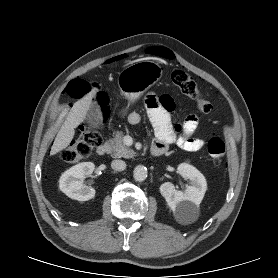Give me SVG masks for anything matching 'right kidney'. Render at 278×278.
<instances>
[{
	"label": "right kidney",
	"instance_id": "1",
	"mask_svg": "<svg viewBox=\"0 0 278 278\" xmlns=\"http://www.w3.org/2000/svg\"><path fill=\"white\" fill-rule=\"evenodd\" d=\"M94 167L92 162H83L65 171L59 179L60 190L69 198L78 201L92 199L95 196V189L84 185L82 180L92 174Z\"/></svg>",
	"mask_w": 278,
	"mask_h": 278
}]
</instances>
